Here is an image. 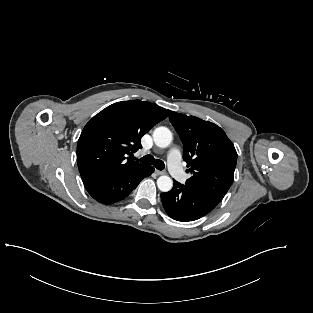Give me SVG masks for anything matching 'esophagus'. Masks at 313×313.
<instances>
[{"label": "esophagus", "instance_id": "34e87169", "mask_svg": "<svg viewBox=\"0 0 313 313\" xmlns=\"http://www.w3.org/2000/svg\"><path fill=\"white\" fill-rule=\"evenodd\" d=\"M155 173H156L157 175H164V174H166L165 171H161V170H155Z\"/></svg>", "mask_w": 313, "mask_h": 313}]
</instances>
